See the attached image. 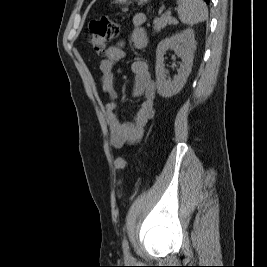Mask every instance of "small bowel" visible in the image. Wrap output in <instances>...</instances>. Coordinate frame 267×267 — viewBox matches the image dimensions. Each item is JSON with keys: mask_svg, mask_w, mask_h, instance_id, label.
<instances>
[{"mask_svg": "<svg viewBox=\"0 0 267 267\" xmlns=\"http://www.w3.org/2000/svg\"><path fill=\"white\" fill-rule=\"evenodd\" d=\"M146 15L136 13L132 20L131 43L137 49H142L147 43V33L144 28ZM124 58L122 44L108 49L100 62V80L103 91L108 95L109 102L104 106L105 118L110 130V140L115 148L134 145L142 139L145 129L154 116V100L156 95L155 83L151 77L148 64L143 60L132 63L134 73L133 94L143 98L140 110L131 122L122 123L115 112L118 92L114 65Z\"/></svg>", "mask_w": 267, "mask_h": 267, "instance_id": "obj_1", "label": "small bowel"}]
</instances>
